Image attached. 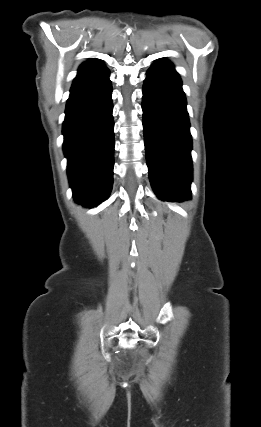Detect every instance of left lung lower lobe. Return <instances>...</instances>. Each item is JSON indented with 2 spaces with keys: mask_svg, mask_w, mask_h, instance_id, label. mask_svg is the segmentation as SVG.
<instances>
[{
  "mask_svg": "<svg viewBox=\"0 0 261 427\" xmlns=\"http://www.w3.org/2000/svg\"><path fill=\"white\" fill-rule=\"evenodd\" d=\"M143 128L149 178L166 201L191 197V134L182 83L173 65L156 61L143 86Z\"/></svg>",
  "mask_w": 261,
  "mask_h": 427,
  "instance_id": "obj_1",
  "label": "left lung lower lobe"
}]
</instances>
